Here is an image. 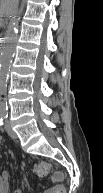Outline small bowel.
<instances>
[{"label": "small bowel", "mask_w": 103, "mask_h": 193, "mask_svg": "<svg viewBox=\"0 0 103 193\" xmlns=\"http://www.w3.org/2000/svg\"><path fill=\"white\" fill-rule=\"evenodd\" d=\"M10 177L11 174L9 171H3L1 173V193H9L10 191ZM12 193H23L21 190H14ZM44 193H62V187L60 185H54L53 187L44 191Z\"/></svg>", "instance_id": "obj_1"}]
</instances>
